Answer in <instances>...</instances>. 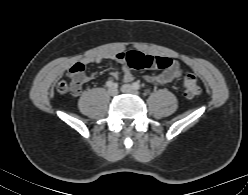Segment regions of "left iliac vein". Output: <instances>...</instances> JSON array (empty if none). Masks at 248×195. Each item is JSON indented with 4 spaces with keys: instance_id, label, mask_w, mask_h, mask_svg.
Listing matches in <instances>:
<instances>
[{
    "instance_id": "4c4485c4",
    "label": "left iliac vein",
    "mask_w": 248,
    "mask_h": 195,
    "mask_svg": "<svg viewBox=\"0 0 248 195\" xmlns=\"http://www.w3.org/2000/svg\"><path fill=\"white\" fill-rule=\"evenodd\" d=\"M121 91L124 93H129L133 95H138L139 92L131 85L125 84L121 87Z\"/></svg>"
}]
</instances>
